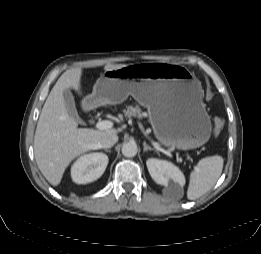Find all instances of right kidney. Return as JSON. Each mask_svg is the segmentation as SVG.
I'll list each match as a JSON object with an SVG mask.
<instances>
[{
    "label": "right kidney",
    "instance_id": "obj_1",
    "mask_svg": "<svg viewBox=\"0 0 261 254\" xmlns=\"http://www.w3.org/2000/svg\"><path fill=\"white\" fill-rule=\"evenodd\" d=\"M109 162L104 153H90L79 157L71 168L72 180L77 184H87L100 178Z\"/></svg>",
    "mask_w": 261,
    "mask_h": 254
}]
</instances>
